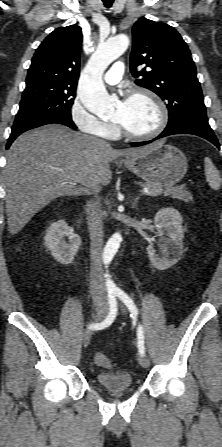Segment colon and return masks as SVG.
I'll return each instance as SVG.
<instances>
[{"instance_id": "5ec220e1", "label": "colon", "mask_w": 222, "mask_h": 447, "mask_svg": "<svg viewBox=\"0 0 222 447\" xmlns=\"http://www.w3.org/2000/svg\"><path fill=\"white\" fill-rule=\"evenodd\" d=\"M94 361L99 366H111V361L103 354L97 353L94 357Z\"/></svg>"}]
</instances>
